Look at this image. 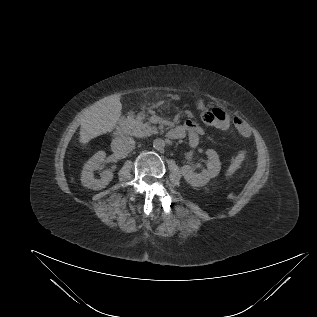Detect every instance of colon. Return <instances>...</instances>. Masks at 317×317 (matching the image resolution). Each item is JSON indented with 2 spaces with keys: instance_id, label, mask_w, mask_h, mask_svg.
<instances>
[{
  "instance_id": "5ec220e1",
  "label": "colon",
  "mask_w": 317,
  "mask_h": 317,
  "mask_svg": "<svg viewBox=\"0 0 317 317\" xmlns=\"http://www.w3.org/2000/svg\"><path fill=\"white\" fill-rule=\"evenodd\" d=\"M201 119L204 123L209 125H220L223 123L225 113L220 109H207L203 104H200Z\"/></svg>"
}]
</instances>
